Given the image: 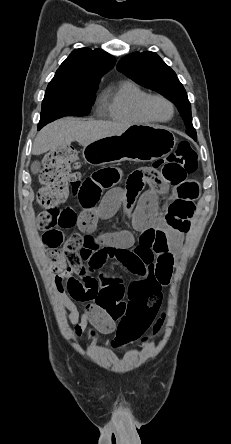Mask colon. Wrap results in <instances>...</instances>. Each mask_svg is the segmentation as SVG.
I'll list each match as a JSON object with an SVG mask.
<instances>
[{
	"label": "colon",
	"mask_w": 231,
	"mask_h": 444,
	"mask_svg": "<svg viewBox=\"0 0 231 444\" xmlns=\"http://www.w3.org/2000/svg\"><path fill=\"white\" fill-rule=\"evenodd\" d=\"M76 151L63 148L49 152L43 161L40 175V188L37 194L38 203L44 208L37 219L38 227L45 231H63L75 225L74 213L69 208L61 207L68 195L69 185L77 194L82 181L77 172L73 171L76 163ZM197 156L189 142H181L177 149L165 159L157 160L151 168L134 171L130 177L147 176L150 171L160 173L162 178L175 188L187 185V175L197 169ZM194 204L177 201L170 208V226L186 233L189 220L194 214ZM69 262L68 275L65 280L69 294L80 299L84 295L82 283L72 274L80 257L75 253H67ZM162 302L161 286L153 283L150 288L130 298L125 313L120 318L116 337L112 341L114 348H119L141 338L153 324ZM160 323L154 326L157 331Z\"/></svg>",
	"instance_id": "1"
}]
</instances>
